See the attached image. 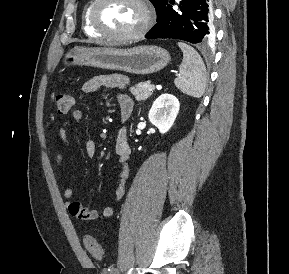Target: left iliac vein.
<instances>
[{"mask_svg": "<svg viewBox=\"0 0 289 274\" xmlns=\"http://www.w3.org/2000/svg\"><path fill=\"white\" fill-rule=\"evenodd\" d=\"M110 274H120V271L116 268L112 269Z\"/></svg>", "mask_w": 289, "mask_h": 274, "instance_id": "4c4485c4", "label": "left iliac vein"}]
</instances>
